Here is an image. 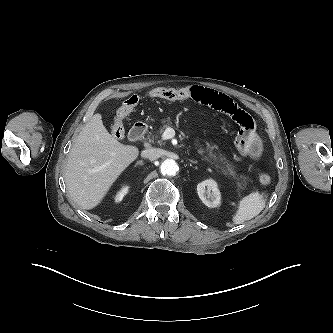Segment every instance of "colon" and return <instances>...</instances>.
Returning <instances> with one entry per match:
<instances>
[{
	"label": "colon",
	"instance_id": "colon-1",
	"mask_svg": "<svg viewBox=\"0 0 333 333\" xmlns=\"http://www.w3.org/2000/svg\"><path fill=\"white\" fill-rule=\"evenodd\" d=\"M149 97L162 98L166 100H181L191 97V92L188 89H174V88H155L147 93ZM139 97L131 95L123 101L121 106L117 109L114 122L111 126L112 135L116 138H123L125 134L124 120L134 110L138 104ZM259 182L267 185L271 182V177L268 173H261L259 175Z\"/></svg>",
	"mask_w": 333,
	"mask_h": 333
}]
</instances>
